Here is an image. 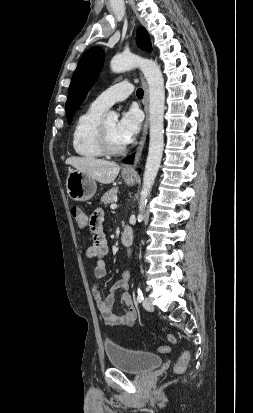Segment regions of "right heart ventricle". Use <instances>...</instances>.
Returning a JSON list of instances; mask_svg holds the SVG:
<instances>
[{
    "label": "right heart ventricle",
    "mask_w": 253,
    "mask_h": 413,
    "mask_svg": "<svg viewBox=\"0 0 253 413\" xmlns=\"http://www.w3.org/2000/svg\"><path fill=\"white\" fill-rule=\"evenodd\" d=\"M103 113L104 110L91 105L77 118L72 132V147L77 155L87 159L104 155L96 140V129Z\"/></svg>",
    "instance_id": "right-heart-ventricle-1"
}]
</instances>
